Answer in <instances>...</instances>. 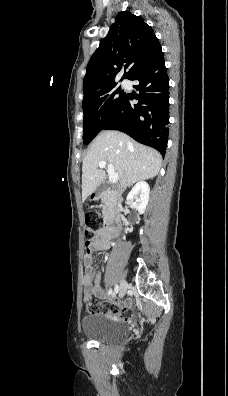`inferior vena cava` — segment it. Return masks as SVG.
<instances>
[{
	"label": "inferior vena cava",
	"instance_id": "1",
	"mask_svg": "<svg viewBox=\"0 0 228 396\" xmlns=\"http://www.w3.org/2000/svg\"><path fill=\"white\" fill-rule=\"evenodd\" d=\"M125 187H126V182H125V180H123V181H121V184H120V188H119L120 192H122Z\"/></svg>",
	"mask_w": 228,
	"mask_h": 396
}]
</instances>
